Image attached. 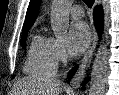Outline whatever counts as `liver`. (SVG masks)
<instances>
[{
    "instance_id": "6515ba94",
    "label": "liver",
    "mask_w": 119,
    "mask_h": 95,
    "mask_svg": "<svg viewBox=\"0 0 119 95\" xmlns=\"http://www.w3.org/2000/svg\"><path fill=\"white\" fill-rule=\"evenodd\" d=\"M19 87L25 90L26 93L32 86V92L35 95H61L62 82L55 78H49L41 76L37 82L34 81H23L18 84Z\"/></svg>"
}]
</instances>
